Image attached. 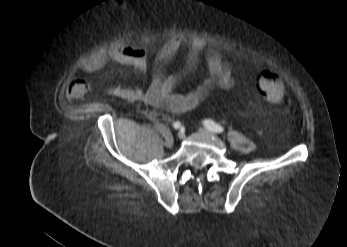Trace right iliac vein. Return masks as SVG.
I'll use <instances>...</instances> for the list:
<instances>
[{
	"label": "right iliac vein",
	"instance_id": "obj_1",
	"mask_svg": "<svg viewBox=\"0 0 347 247\" xmlns=\"http://www.w3.org/2000/svg\"><path fill=\"white\" fill-rule=\"evenodd\" d=\"M185 137V134L183 132L178 133V138L182 140Z\"/></svg>",
	"mask_w": 347,
	"mask_h": 247
}]
</instances>
